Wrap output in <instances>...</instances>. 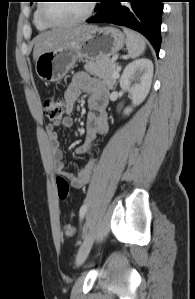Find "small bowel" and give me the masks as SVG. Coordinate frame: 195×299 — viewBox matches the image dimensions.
Listing matches in <instances>:
<instances>
[{"mask_svg":"<svg viewBox=\"0 0 195 299\" xmlns=\"http://www.w3.org/2000/svg\"><path fill=\"white\" fill-rule=\"evenodd\" d=\"M82 94L89 95L91 112L86 119V141L83 145L76 148L75 153L77 155L88 153L97 135L105 132L108 126L106 113L108 89L98 80L81 72L74 75L71 83L66 88L64 94L66 113L71 114L74 111L75 104ZM61 125L70 128L73 125V121L71 118L65 117ZM46 134L55 172L67 178L72 188H82L91 178L95 166L94 160L90 159L77 175H73L65 168L59 136L52 124L47 125Z\"/></svg>","mask_w":195,"mask_h":299,"instance_id":"small-bowel-1","label":"small bowel"}]
</instances>
